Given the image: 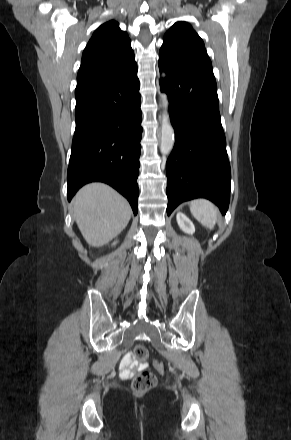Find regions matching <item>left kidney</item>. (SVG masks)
<instances>
[{"mask_svg":"<svg viewBox=\"0 0 291 440\" xmlns=\"http://www.w3.org/2000/svg\"><path fill=\"white\" fill-rule=\"evenodd\" d=\"M177 223L180 229L187 233L193 234L195 232V226L192 221L182 212H178L176 215Z\"/></svg>","mask_w":291,"mask_h":440,"instance_id":"left-kidney-1","label":"left kidney"}]
</instances>
